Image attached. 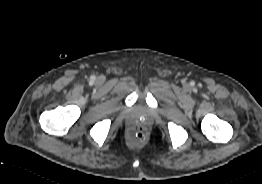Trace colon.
<instances>
[{
  "label": "colon",
  "mask_w": 262,
  "mask_h": 184,
  "mask_svg": "<svg viewBox=\"0 0 262 184\" xmlns=\"http://www.w3.org/2000/svg\"><path fill=\"white\" fill-rule=\"evenodd\" d=\"M130 139L133 143L141 144L146 139V134L141 126H136L132 129L130 133Z\"/></svg>",
  "instance_id": "1"
}]
</instances>
